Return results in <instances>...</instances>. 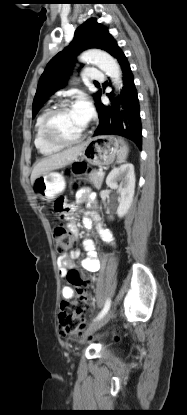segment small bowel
<instances>
[{
    "label": "small bowel",
    "instance_id": "c3829d8e",
    "mask_svg": "<svg viewBox=\"0 0 187 415\" xmlns=\"http://www.w3.org/2000/svg\"><path fill=\"white\" fill-rule=\"evenodd\" d=\"M90 197V190L86 187L81 188L77 193V198L79 201H86ZM90 217L98 222V214L95 210L90 212ZM86 226L90 225V220L85 219ZM70 230L77 235L78 229L75 226L74 223L69 224ZM99 234L104 242L107 244L113 245L114 239L112 235L109 233L108 230L104 229L101 225L98 226ZM84 247L87 251L86 257L82 261V267L85 271L90 273H95L100 269V261L97 257L96 251H95V245L93 241L86 239L84 241ZM80 255V251L78 249L71 250L68 254L62 255L58 258V266H59V274L62 277H65L70 270L75 268L74 260L77 259ZM61 295L63 298H73L75 296V291L72 286L66 285L61 290Z\"/></svg>",
    "mask_w": 187,
    "mask_h": 415
}]
</instances>
